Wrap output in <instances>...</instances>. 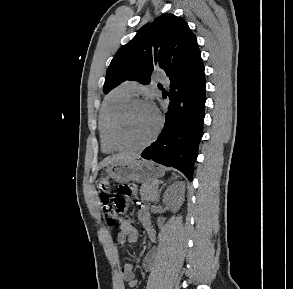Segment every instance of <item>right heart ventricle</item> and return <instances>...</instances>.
<instances>
[{"mask_svg": "<svg viewBox=\"0 0 293 289\" xmlns=\"http://www.w3.org/2000/svg\"><path fill=\"white\" fill-rule=\"evenodd\" d=\"M130 98L131 93H129L124 88V86H120L111 91L103 103L99 115L98 130L101 148L105 153H113L116 151V149L112 146V144L109 141L111 123L120 107Z\"/></svg>", "mask_w": 293, "mask_h": 289, "instance_id": "1", "label": "right heart ventricle"}]
</instances>
